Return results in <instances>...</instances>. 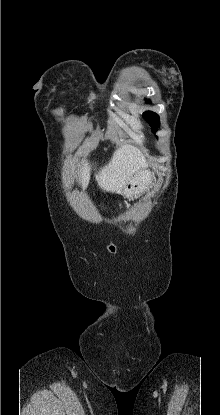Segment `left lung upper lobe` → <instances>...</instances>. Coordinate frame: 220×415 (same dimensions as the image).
<instances>
[{
    "label": "left lung upper lobe",
    "instance_id": "left-lung-upper-lobe-1",
    "mask_svg": "<svg viewBox=\"0 0 220 415\" xmlns=\"http://www.w3.org/2000/svg\"><path fill=\"white\" fill-rule=\"evenodd\" d=\"M149 102V101H148ZM143 116L148 120V122L150 123L151 127H152V131L156 132L157 128L159 127V116L151 111H146L145 113H143Z\"/></svg>",
    "mask_w": 220,
    "mask_h": 415
}]
</instances>
